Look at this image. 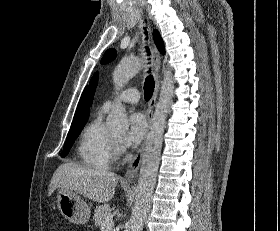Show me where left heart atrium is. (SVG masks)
<instances>
[{
	"instance_id": "1",
	"label": "left heart atrium",
	"mask_w": 280,
	"mask_h": 231,
	"mask_svg": "<svg viewBox=\"0 0 280 231\" xmlns=\"http://www.w3.org/2000/svg\"><path fill=\"white\" fill-rule=\"evenodd\" d=\"M147 130L145 118L135 113L129 117L127 133L121 139V145L125 149L135 148L142 141Z\"/></svg>"
}]
</instances>
